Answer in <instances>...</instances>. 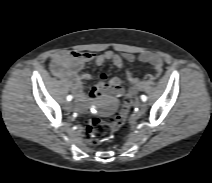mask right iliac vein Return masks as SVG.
Here are the masks:
<instances>
[{
	"mask_svg": "<svg viewBox=\"0 0 212 183\" xmlns=\"http://www.w3.org/2000/svg\"><path fill=\"white\" fill-rule=\"evenodd\" d=\"M65 108L67 109V110H72V108H73V104H72V102H66V104H65Z\"/></svg>",
	"mask_w": 212,
	"mask_h": 183,
	"instance_id": "63e3f726",
	"label": "right iliac vein"
}]
</instances>
